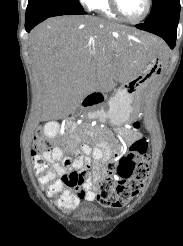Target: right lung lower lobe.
<instances>
[{
    "mask_svg": "<svg viewBox=\"0 0 183 246\" xmlns=\"http://www.w3.org/2000/svg\"><path fill=\"white\" fill-rule=\"evenodd\" d=\"M82 14H86V12L83 9L73 8V9L56 11L39 18L38 17L26 18L25 28L27 32H30L34 26H36L38 23L42 22L43 20L47 19L48 17L60 16V15H82Z\"/></svg>",
    "mask_w": 183,
    "mask_h": 246,
    "instance_id": "98d812e1",
    "label": "right lung lower lobe"
}]
</instances>
